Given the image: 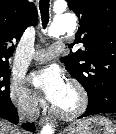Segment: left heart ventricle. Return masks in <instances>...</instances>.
Returning a JSON list of instances; mask_svg holds the SVG:
<instances>
[{
	"label": "left heart ventricle",
	"mask_w": 116,
	"mask_h": 134,
	"mask_svg": "<svg viewBox=\"0 0 116 134\" xmlns=\"http://www.w3.org/2000/svg\"><path fill=\"white\" fill-rule=\"evenodd\" d=\"M76 98L73 92L68 88L64 98L57 105L59 108L64 110H70L75 106Z\"/></svg>",
	"instance_id": "obj_1"
}]
</instances>
